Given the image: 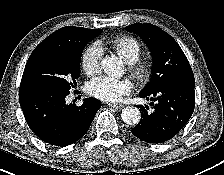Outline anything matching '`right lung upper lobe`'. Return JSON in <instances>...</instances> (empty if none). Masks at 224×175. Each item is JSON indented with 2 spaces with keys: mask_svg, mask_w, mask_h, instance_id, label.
<instances>
[{
  "mask_svg": "<svg viewBox=\"0 0 224 175\" xmlns=\"http://www.w3.org/2000/svg\"><path fill=\"white\" fill-rule=\"evenodd\" d=\"M100 32L99 29L67 26L52 33L38 46H67L88 34H99Z\"/></svg>",
  "mask_w": 224,
  "mask_h": 175,
  "instance_id": "right-lung-upper-lobe-1",
  "label": "right lung upper lobe"
}]
</instances>
